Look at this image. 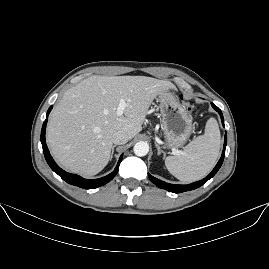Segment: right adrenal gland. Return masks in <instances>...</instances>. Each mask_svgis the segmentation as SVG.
Masks as SVG:
<instances>
[{
    "instance_id": "2a0ac1e0",
    "label": "right adrenal gland",
    "mask_w": 269,
    "mask_h": 269,
    "mask_svg": "<svg viewBox=\"0 0 269 269\" xmlns=\"http://www.w3.org/2000/svg\"><path fill=\"white\" fill-rule=\"evenodd\" d=\"M116 145L112 146V151H111V155H110V161L112 160L113 154H114V149H115Z\"/></svg>"
}]
</instances>
